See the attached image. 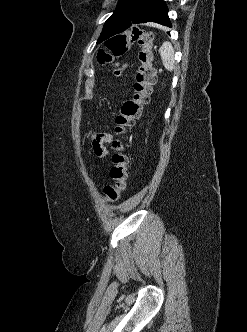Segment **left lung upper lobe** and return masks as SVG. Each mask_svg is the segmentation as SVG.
Here are the masks:
<instances>
[{"label":"left lung upper lobe","instance_id":"left-lung-upper-lobe-1","mask_svg":"<svg viewBox=\"0 0 247 332\" xmlns=\"http://www.w3.org/2000/svg\"><path fill=\"white\" fill-rule=\"evenodd\" d=\"M147 1L148 0H120L114 13L105 22L97 43H101L121 33L124 24L130 20Z\"/></svg>","mask_w":247,"mask_h":332}]
</instances>
